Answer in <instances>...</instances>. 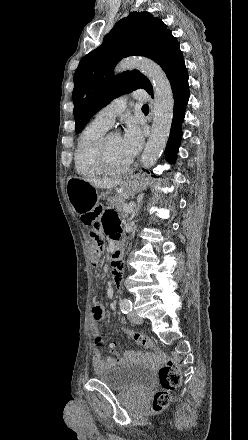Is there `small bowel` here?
<instances>
[{
  "label": "small bowel",
  "instance_id": "1",
  "mask_svg": "<svg viewBox=\"0 0 248 440\" xmlns=\"http://www.w3.org/2000/svg\"><path fill=\"white\" fill-rule=\"evenodd\" d=\"M104 231L112 238L120 237V220L114 211L107 210L103 215ZM113 277L116 287H120L122 283V268L120 266L113 267ZM107 296L110 300V305H114V289L109 286L107 289ZM104 308L100 304H95L91 311L90 331L93 337L98 340L100 338L99 324L104 320ZM154 359V356L149 353H132L129 352L125 358L126 361L148 362ZM117 362L114 358L103 359L99 351L93 354V366L97 372L114 365Z\"/></svg>",
  "mask_w": 248,
  "mask_h": 440
}]
</instances>
